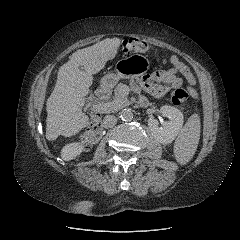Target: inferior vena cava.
I'll list each match as a JSON object with an SVG mask.
<instances>
[{"mask_svg": "<svg viewBox=\"0 0 240 240\" xmlns=\"http://www.w3.org/2000/svg\"><path fill=\"white\" fill-rule=\"evenodd\" d=\"M117 118L114 115H107L102 121V126L104 128H112L116 125Z\"/></svg>", "mask_w": 240, "mask_h": 240, "instance_id": "602c4592", "label": "inferior vena cava"}]
</instances>
